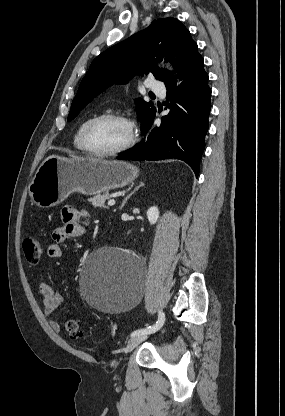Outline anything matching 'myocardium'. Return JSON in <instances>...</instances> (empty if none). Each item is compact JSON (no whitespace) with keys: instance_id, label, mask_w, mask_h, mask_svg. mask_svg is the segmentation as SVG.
Segmentation results:
<instances>
[{"instance_id":"myocardium-1","label":"myocardium","mask_w":285,"mask_h":416,"mask_svg":"<svg viewBox=\"0 0 285 416\" xmlns=\"http://www.w3.org/2000/svg\"><path fill=\"white\" fill-rule=\"evenodd\" d=\"M101 119H113L116 120L118 122H120L121 124H123L127 130V139L124 142V144L114 150H110V151H100V150H96L94 148H92L88 142V138H87V132L89 127L96 121H99ZM81 144L84 148V150L89 153L90 155L93 156H97V157H114V156H119L123 153H125L127 150H129L131 148V146L134 143V129H133V125L132 122L125 117L122 114L119 113H114V112H105V113H100V114H96L92 117H90L85 124L83 125L82 131H81Z\"/></svg>"}]
</instances>
